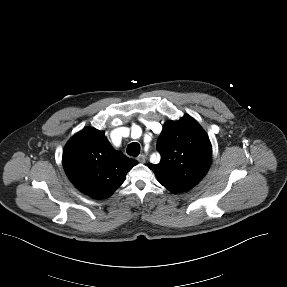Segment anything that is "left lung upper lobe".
<instances>
[{"label": "left lung upper lobe", "mask_w": 287, "mask_h": 287, "mask_svg": "<svg viewBox=\"0 0 287 287\" xmlns=\"http://www.w3.org/2000/svg\"><path fill=\"white\" fill-rule=\"evenodd\" d=\"M159 164H148L158 181L173 193L190 190L208 172L212 147L208 135L189 115L169 121L157 142Z\"/></svg>", "instance_id": "1"}]
</instances>
